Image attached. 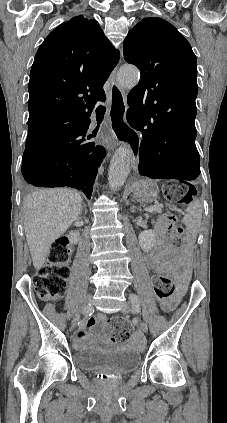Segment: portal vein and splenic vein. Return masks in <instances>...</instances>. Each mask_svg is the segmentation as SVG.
Here are the masks:
<instances>
[{
    "label": "portal vein and splenic vein",
    "instance_id": "portal-vein-and-splenic-vein-1",
    "mask_svg": "<svg viewBox=\"0 0 227 423\" xmlns=\"http://www.w3.org/2000/svg\"><path fill=\"white\" fill-rule=\"evenodd\" d=\"M161 208V204L160 206H150V208H145L146 211H155V210H160ZM174 209H177V206H174ZM179 213H182V210H179Z\"/></svg>",
    "mask_w": 227,
    "mask_h": 423
}]
</instances>
